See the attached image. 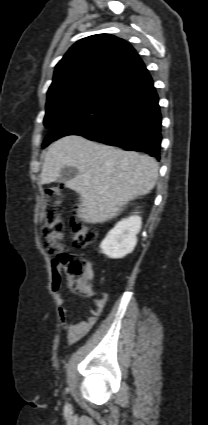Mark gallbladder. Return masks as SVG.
Instances as JSON below:
<instances>
[{"mask_svg":"<svg viewBox=\"0 0 208 425\" xmlns=\"http://www.w3.org/2000/svg\"><path fill=\"white\" fill-rule=\"evenodd\" d=\"M78 174V170L75 167L72 166H65L62 168L60 172V176L56 180V182L62 183L65 182L67 179L72 178Z\"/></svg>","mask_w":208,"mask_h":425,"instance_id":"1","label":"gallbladder"}]
</instances>
